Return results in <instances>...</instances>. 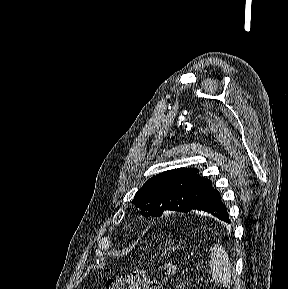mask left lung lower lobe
Segmentation results:
<instances>
[{"instance_id":"0a47b994","label":"left lung lower lobe","mask_w":288,"mask_h":289,"mask_svg":"<svg viewBox=\"0 0 288 289\" xmlns=\"http://www.w3.org/2000/svg\"><path fill=\"white\" fill-rule=\"evenodd\" d=\"M191 210L205 211L226 223H230L227 213V208L223 204L220 193L211 188L194 206ZM190 210V211H191Z\"/></svg>"}]
</instances>
